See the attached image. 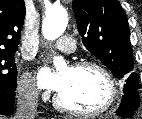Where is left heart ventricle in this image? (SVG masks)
Returning <instances> with one entry per match:
<instances>
[{"label":"left heart ventricle","mask_w":142,"mask_h":119,"mask_svg":"<svg viewBox=\"0 0 142 119\" xmlns=\"http://www.w3.org/2000/svg\"><path fill=\"white\" fill-rule=\"evenodd\" d=\"M62 74L65 81L58 95L64 105L88 111L100 107L105 102L108 93L107 83L97 70L65 68Z\"/></svg>","instance_id":"1"}]
</instances>
